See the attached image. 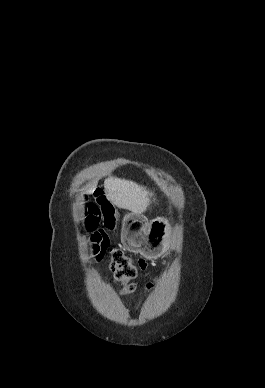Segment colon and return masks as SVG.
<instances>
[{
  "instance_id": "obj_1",
  "label": "colon",
  "mask_w": 265,
  "mask_h": 388,
  "mask_svg": "<svg viewBox=\"0 0 265 388\" xmlns=\"http://www.w3.org/2000/svg\"><path fill=\"white\" fill-rule=\"evenodd\" d=\"M87 230L90 232L93 259L100 260L105 254L110 259V269L116 282L122 286V293L132 294L136 285L133 280L137 276V268L132 259L119 249L110 248L106 232L99 227L102 223L106 230L114 231L117 226V215L114 205L107 199L103 190L97 189L93 200L87 201L85 208ZM153 283H148L147 290Z\"/></svg>"
}]
</instances>
